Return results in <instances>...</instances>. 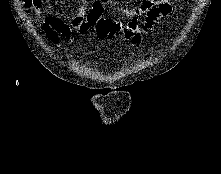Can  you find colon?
<instances>
[{"label": "colon", "mask_w": 221, "mask_h": 174, "mask_svg": "<svg viewBox=\"0 0 221 174\" xmlns=\"http://www.w3.org/2000/svg\"><path fill=\"white\" fill-rule=\"evenodd\" d=\"M24 5L26 7H35L40 0H23ZM95 30L99 37L105 38V37H112L114 35L119 34L122 31V27L120 23L113 21L111 19H100L97 23ZM124 36L128 40L131 41L133 45H139L142 39L141 33L138 29V24L136 20H131L126 30L124 31Z\"/></svg>", "instance_id": "5ec220e1"}]
</instances>
